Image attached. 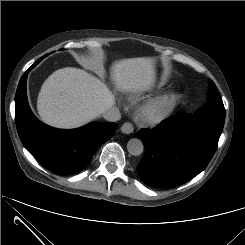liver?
I'll return each mask as SVG.
<instances>
[{
	"instance_id": "liver-1",
	"label": "liver",
	"mask_w": 245,
	"mask_h": 245,
	"mask_svg": "<svg viewBox=\"0 0 245 245\" xmlns=\"http://www.w3.org/2000/svg\"><path fill=\"white\" fill-rule=\"evenodd\" d=\"M155 61L138 57L114 62L110 70L116 89L130 93L151 89L156 81ZM114 104V95L101 80L82 69L66 67L45 80L37 110L46 124L71 129L91 122Z\"/></svg>"
}]
</instances>
